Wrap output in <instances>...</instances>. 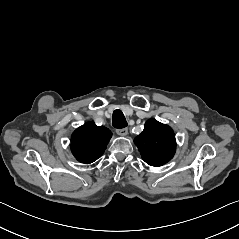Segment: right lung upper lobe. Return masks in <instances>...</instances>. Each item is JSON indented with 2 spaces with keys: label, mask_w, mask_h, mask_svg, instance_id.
I'll return each instance as SVG.
<instances>
[{
  "label": "right lung upper lobe",
  "mask_w": 239,
  "mask_h": 239,
  "mask_svg": "<svg viewBox=\"0 0 239 239\" xmlns=\"http://www.w3.org/2000/svg\"><path fill=\"white\" fill-rule=\"evenodd\" d=\"M111 136L112 133L108 128L88 122L73 132L71 151L79 162L92 163L104 153Z\"/></svg>",
  "instance_id": "right-lung-upper-lobe-1"
}]
</instances>
